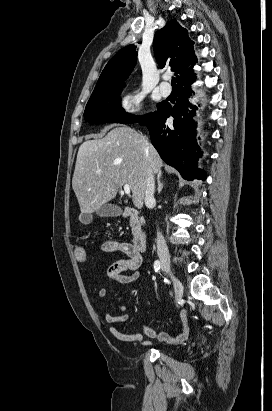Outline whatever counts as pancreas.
Instances as JSON below:
<instances>
[{"instance_id":"cf45deb5","label":"pancreas","mask_w":272,"mask_h":411,"mask_svg":"<svg viewBox=\"0 0 272 411\" xmlns=\"http://www.w3.org/2000/svg\"><path fill=\"white\" fill-rule=\"evenodd\" d=\"M145 223L144 218H140L139 220L136 221H131V228H132V232H138L141 230V225H143Z\"/></svg>"}]
</instances>
